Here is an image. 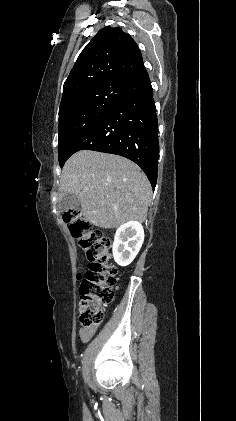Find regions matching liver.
Returning a JSON list of instances; mask_svg holds the SVG:
<instances>
[{
  "label": "liver",
  "instance_id": "1",
  "mask_svg": "<svg viewBox=\"0 0 236 421\" xmlns=\"http://www.w3.org/2000/svg\"><path fill=\"white\" fill-rule=\"evenodd\" d=\"M59 190V198L76 194L84 219L101 229L144 223L151 198V184L135 162L96 150H78L66 160Z\"/></svg>",
  "mask_w": 236,
  "mask_h": 421
}]
</instances>
